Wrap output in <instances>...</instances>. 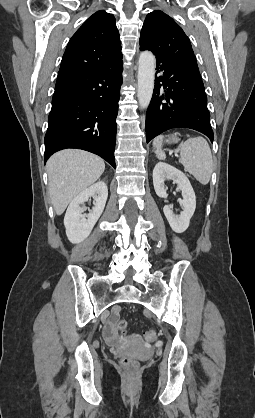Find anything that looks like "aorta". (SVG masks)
<instances>
[{
	"instance_id": "1",
	"label": "aorta",
	"mask_w": 255,
	"mask_h": 418,
	"mask_svg": "<svg viewBox=\"0 0 255 418\" xmlns=\"http://www.w3.org/2000/svg\"><path fill=\"white\" fill-rule=\"evenodd\" d=\"M155 79V57L150 51L140 53L138 61V89L137 96L141 108L149 106Z\"/></svg>"
}]
</instances>
